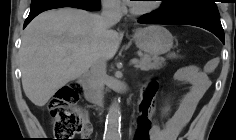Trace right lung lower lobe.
<instances>
[{
    "mask_svg": "<svg viewBox=\"0 0 236 140\" xmlns=\"http://www.w3.org/2000/svg\"><path fill=\"white\" fill-rule=\"evenodd\" d=\"M62 7H73V8H80L88 11H97L100 9V6L97 8L87 6L80 2L75 1H61V2H55L50 4L41 5L38 7L31 8L29 16L25 20L24 28L30 23V21L36 17L38 14H40L43 11L50 10V9H56V8H62Z\"/></svg>",
    "mask_w": 236,
    "mask_h": 140,
    "instance_id": "obj_1",
    "label": "right lung lower lobe"
}]
</instances>
